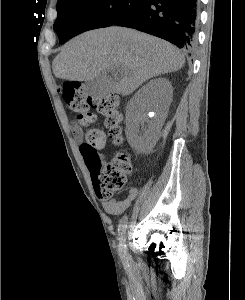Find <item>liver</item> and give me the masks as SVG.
<instances>
[{
  "mask_svg": "<svg viewBox=\"0 0 245 300\" xmlns=\"http://www.w3.org/2000/svg\"><path fill=\"white\" fill-rule=\"evenodd\" d=\"M185 57L172 44L123 27L85 32L69 41L55 57L56 78L89 81L118 67L114 92L130 95L152 77L178 71Z\"/></svg>",
  "mask_w": 245,
  "mask_h": 300,
  "instance_id": "1",
  "label": "liver"
}]
</instances>
